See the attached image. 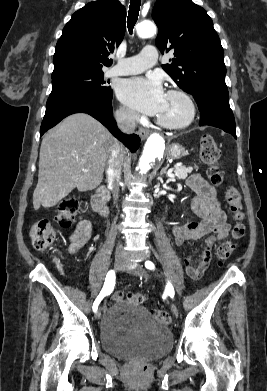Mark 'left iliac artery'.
Returning <instances> with one entry per match:
<instances>
[{
  "mask_svg": "<svg viewBox=\"0 0 267 391\" xmlns=\"http://www.w3.org/2000/svg\"><path fill=\"white\" fill-rule=\"evenodd\" d=\"M145 267L147 269H150V270H153L155 268L154 264L150 261H146L145 262ZM166 293L171 297L173 298L174 297V289L172 287V285L170 283L167 284L166 286Z\"/></svg>",
  "mask_w": 267,
  "mask_h": 391,
  "instance_id": "44dca946",
  "label": "left iliac artery"
}]
</instances>
